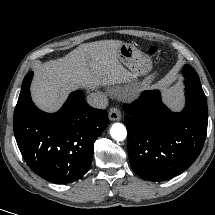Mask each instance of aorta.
<instances>
[{"label": "aorta", "instance_id": "762f6f07", "mask_svg": "<svg viewBox=\"0 0 215 215\" xmlns=\"http://www.w3.org/2000/svg\"><path fill=\"white\" fill-rule=\"evenodd\" d=\"M110 134L116 141H123L127 136V130L121 123H114L111 126Z\"/></svg>", "mask_w": 215, "mask_h": 215}]
</instances>
